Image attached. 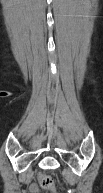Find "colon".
<instances>
[{
	"label": "colon",
	"mask_w": 103,
	"mask_h": 193,
	"mask_svg": "<svg viewBox=\"0 0 103 193\" xmlns=\"http://www.w3.org/2000/svg\"><path fill=\"white\" fill-rule=\"evenodd\" d=\"M39 181L41 186L45 189H51L53 187V179L50 175L40 173Z\"/></svg>",
	"instance_id": "obj_1"
}]
</instances>
